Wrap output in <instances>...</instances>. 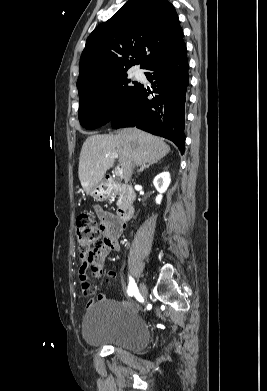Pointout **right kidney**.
I'll list each match as a JSON object with an SVG mask.
<instances>
[{
    "instance_id": "1",
    "label": "right kidney",
    "mask_w": 267,
    "mask_h": 391,
    "mask_svg": "<svg viewBox=\"0 0 267 391\" xmlns=\"http://www.w3.org/2000/svg\"><path fill=\"white\" fill-rule=\"evenodd\" d=\"M156 190L159 192L155 201L157 204L161 203L162 194L167 190L170 184V174L168 172H163L157 175L153 181Z\"/></svg>"
}]
</instances>
